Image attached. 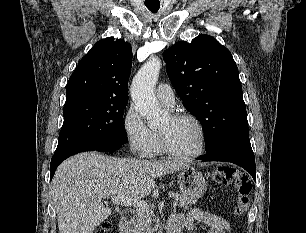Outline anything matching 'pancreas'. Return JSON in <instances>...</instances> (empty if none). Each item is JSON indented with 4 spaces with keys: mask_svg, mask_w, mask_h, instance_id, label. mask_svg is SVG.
<instances>
[{
    "mask_svg": "<svg viewBox=\"0 0 306 233\" xmlns=\"http://www.w3.org/2000/svg\"><path fill=\"white\" fill-rule=\"evenodd\" d=\"M171 196L179 202V206L186 210L188 206L195 204L196 199L185 195L171 193ZM155 215L148 209H140L131 219L133 233H154L158 230Z\"/></svg>",
    "mask_w": 306,
    "mask_h": 233,
    "instance_id": "cf45deb5",
    "label": "pancreas"
}]
</instances>
